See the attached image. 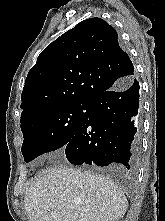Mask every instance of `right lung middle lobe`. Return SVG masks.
Listing matches in <instances>:
<instances>
[{
    "mask_svg": "<svg viewBox=\"0 0 165 221\" xmlns=\"http://www.w3.org/2000/svg\"><path fill=\"white\" fill-rule=\"evenodd\" d=\"M89 114V103L74 104L49 109L22 121L24 161L30 162L41 154L66 146Z\"/></svg>",
    "mask_w": 165,
    "mask_h": 221,
    "instance_id": "obj_1",
    "label": "right lung middle lobe"
}]
</instances>
